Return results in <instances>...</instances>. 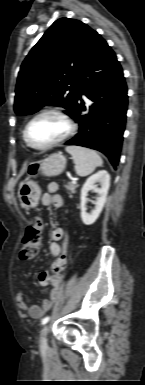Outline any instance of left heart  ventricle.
Listing matches in <instances>:
<instances>
[{"label":"left heart ventricle","instance_id":"left-heart-ventricle-1","mask_svg":"<svg viewBox=\"0 0 145 385\" xmlns=\"http://www.w3.org/2000/svg\"><path fill=\"white\" fill-rule=\"evenodd\" d=\"M66 131L67 125L60 117L44 115L31 124L29 140L36 146H45L62 137Z\"/></svg>","mask_w":145,"mask_h":385}]
</instances>
